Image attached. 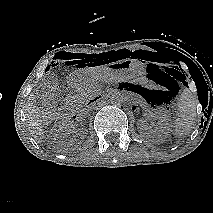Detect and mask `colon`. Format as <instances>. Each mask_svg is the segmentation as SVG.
Instances as JSON below:
<instances>
[{"label": "colon", "instance_id": "obj_1", "mask_svg": "<svg viewBox=\"0 0 213 213\" xmlns=\"http://www.w3.org/2000/svg\"><path fill=\"white\" fill-rule=\"evenodd\" d=\"M50 100H51V97L48 95V96H46V99H45V101L47 102V103H49L50 102Z\"/></svg>", "mask_w": 213, "mask_h": 213}]
</instances>
